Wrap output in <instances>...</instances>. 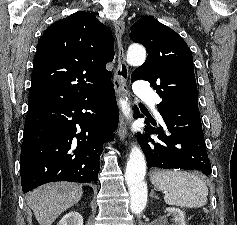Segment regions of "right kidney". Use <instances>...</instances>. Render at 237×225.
I'll list each match as a JSON object with an SVG mask.
<instances>
[{"label": "right kidney", "mask_w": 237, "mask_h": 225, "mask_svg": "<svg viewBox=\"0 0 237 225\" xmlns=\"http://www.w3.org/2000/svg\"><path fill=\"white\" fill-rule=\"evenodd\" d=\"M57 225H83V218L80 213L71 211L65 214Z\"/></svg>", "instance_id": "right-kidney-1"}]
</instances>
